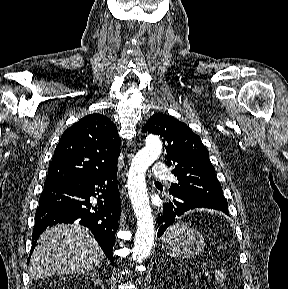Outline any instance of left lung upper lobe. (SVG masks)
Wrapping results in <instances>:
<instances>
[{"label":"left lung upper lobe","instance_id":"5c2ea615","mask_svg":"<svg viewBox=\"0 0 288 289\" xmlns=\"http://www.w3.org/2000/svg\"><path fill=\"white\" fill-rule=\"evenodd\" d=\"M142 132L163 138L167 152L165 163L175 166L172 172L178 180L169 189L172 196L204 200L228 211L215 168L209 160V152L198 135L186 124L165 114H154Z\"/></svg>","mask_w":288,"mask_h":289}]
</instances>
